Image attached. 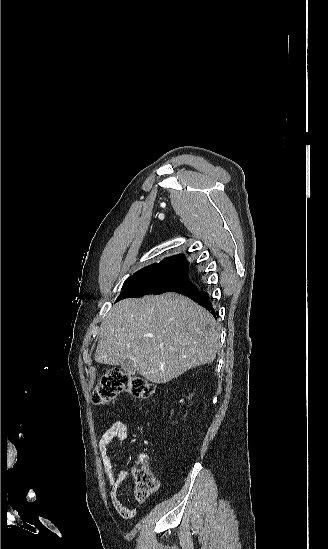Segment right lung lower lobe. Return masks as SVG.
<instances>
[{
	"label": "right lung lower lobe",
	"instance_id": "1",
	"mask_svg": "<svg viewBox=\"0 0 328 549\" xmlns=\"http://www.w3.org/2000/svg\"><path fill=\"white\" fill-rule=\"evenodd\" d=\"M181 294H184V295L188 296L189 298L197 301L201 306H203L207 310H209L214 315V317H216L215 316V311L212 307V303L210 302V299L208 297L207 292L198 291L196 289V290H192V291H188V292H183Z\"/></svg>",
	"mask_w": 328,
	"mask_h": 549
}]
</instances>
